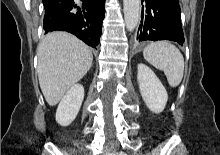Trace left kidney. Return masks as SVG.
Here are the masks:
<instances>
[{"label": "left kidney", "instance_id": "obj_1", "mask_svg": "<svg viewBox=\"0 0 220 155\" xmlns=\"http://www.w3.org/2000/svg\"><path fill=\"white\" fill-rule=\"evenodd\" d=\"M137 80L142 98L154 113H160L164 110L168 94L155 73L145 64H138Z\"/></svg>", "mask_w": 220, "mask_h": 155}]
</instances>
